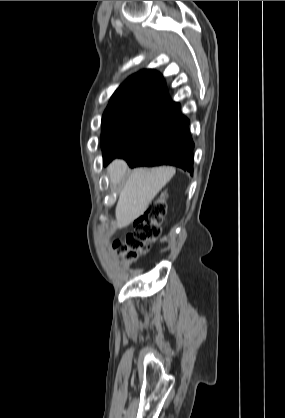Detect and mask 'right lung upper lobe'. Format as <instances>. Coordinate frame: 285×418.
Segmentation results:
<instances>
[{
	"instance_id": "1",
	"label": "right lung upper lobe",
	"mask_w": 285,
	"mask_h": 418,
	"mask_svg": "<svg viewBox=\"0 0 285 418\" xmlns=\"http://www.w3.org/2000/svg\"><path fill=\"white\" fill-rule=\"evenodd\" d=\"M122 103H142L175 111L180 109V105L170 99L163 76L150 69L142 70L123 82L108 106Z\"/></svg>"
}]
</instances>
